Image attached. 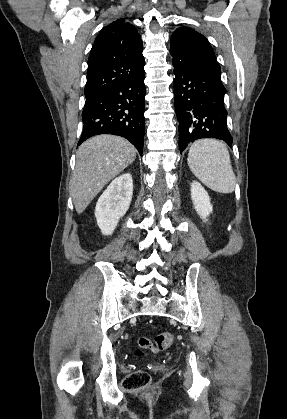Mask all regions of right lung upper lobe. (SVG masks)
Here are the masks:
<instances>
[{"instance_id":"obj_1","label":"right lung upper lobe","mask_w":287,"mask_h":419,"mask_svg":"<svg viewBox=\"0 0 287 419\" xmlns=\"http://www.w3.org/2000/svg\"><path fill=\"white\" fill-rule=\"evenodd\" d=\"M143 44L135 27L118 19L95 39L88 59L86 99L144 71Z\"/></svg>"}]
</instances>
